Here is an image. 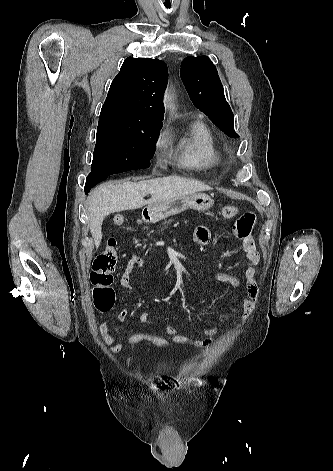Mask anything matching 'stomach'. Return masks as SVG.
Segmentation results:
<instances>
[{"label":"stomach","mask_w":333,"mask_h":471,"mask_svg":"<svg viewBox=\"0 0 333 471\" xmlns=\"http://www.w3.org/2000/svg\"><path fill=\"white\" fill-rule=\"evenodd\" d=\"M213 205L214 200L209 195L193 193L179 196L166 202L148 205L146 207L147 215L145 219L150 222H157L169 216L179 214L189 208L202 212L209 210Z\"/></svg>","instance_id":"stomach-1"}]
</instances>
